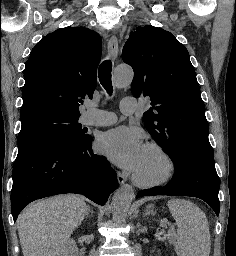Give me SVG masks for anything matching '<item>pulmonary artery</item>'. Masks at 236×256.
Wrapping results in <instances>:
<instances>
[{"instance_id": "pulmonary-artery-1", "label": "pulmonary artery", "mask_w": 236, "mask_h": 256, "mask_svg": "<svg viewBox=\"0 0 236 256\" xmlns=\"http://www.w3.org/2000/svg\"><path fill=\"white\" fill-rule=\"evenodd\" d=\"M134 101H136V96H125V101L121 102L120 110L123 113V115H134L136 105L134 104ZM109 115L106 118L101 119H93V120H87L86 125L90 126H110L116 123L117 117L114 113H109Z\"/></svg>"}]
</instances>
